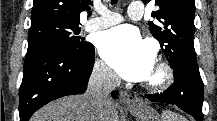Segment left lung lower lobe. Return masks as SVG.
<instances>
[{"instance_id": "obj_1", "label": "left lung lower lobe", "mask_w": 217, "mask_h": 121, "mask_svg": "<svg viewBox=\"0 0 217 121\" xmlns=\"http://www.w3.org/2000/svg\"><path fill=\"white\" fill-rule=\"evenodd\" d=\"M174 83L163 93L147 94L143 98L178 106L192 115L196 121H203V82L199 68L188 64L174 67Z\"/></svg>"}]
</instances>
